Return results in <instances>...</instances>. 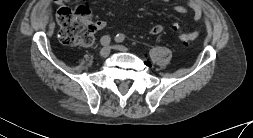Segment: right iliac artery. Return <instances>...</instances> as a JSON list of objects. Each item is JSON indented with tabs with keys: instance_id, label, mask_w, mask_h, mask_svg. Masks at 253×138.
Wrapping results in <instances>:
<instances>
[{
	"instance_id": "82829eb1",
	"label": "right iliac artery",
	"mask_w": 253,
	"mask_h": 138,
	"mask_svg": "<svg viewBox=\"0 0 253 138\" xmlns=\"http://www.w3.org/2000/svg\"><path fill=\"white\" fill-rule=\"evenodd\" d=\"M100 42H101V45L108 46L111 43V37L108 35H105L101 38Z\"/></svg>"
}]
</instances>
